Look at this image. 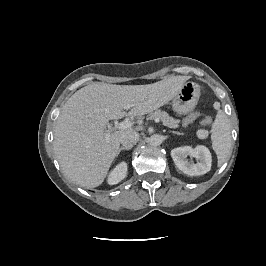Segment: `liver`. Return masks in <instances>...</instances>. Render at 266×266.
<instances>
[{"instance_id":"obj_1","label":"liver","mask_w":266,"mask_h":266,"mask_svg":"<svg viewBox=\"0 0 266 266\" xmlns=\"http://www.w3.org/2000/svg\"><path fill=\"white\" fill-rule=\"evenodd\" d=\"M188 76H171L153 84L113 85L93 83L76 91L64 104L56 121L54 151L63 173L83 187L101 185L117 156L120 138L132 128L106 138L109 120L142 116L168 103ZM131 105L128 113L124 111Z\"/></svg>"}]
</instances>
